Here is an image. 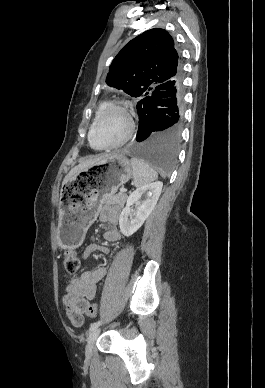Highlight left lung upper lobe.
Returning a JSON list of instances; mask_svg holds the SVG:
<instances>
[{
  "mask_svg": "<svg viewBox=\"0 0 265 388\" xmlns=\"http://www.w3.org/2000/svg\"><path fill=\"white\" fill-rule=\"evenodd\" d=\"M180 76L182 65L173 38L166 30L155 28L121 49L110 65L106 83L142 101L154 95L159 85Z\"/></svg>",
  "mask_w": 265,
  "mask_h": 388,
  "instance_id": "left-lung-upper-lobe-1",
  "label": "left lung upper lobe"
}]
</instances>
